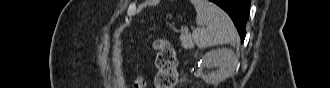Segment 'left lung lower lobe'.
I'll use <instances>...</instances> for the list:
<instances>
[{
  "label": "left lung lower lobe",
  "mask_w": 330,
  "mask_h": 88,
  "mask_svg": "<svg viewBox=\"0 0 330 88\" xmlns=\"http://www.w3.org/2000/svg\"><path fill=\"white\" fill-rule=\"evenodd\" d=\"M220 6L233 20L241 38L245 39V25L250 10V0H210Z\"/></svg>",
  "instance_id": "0a47b994"
}]
</instances>
